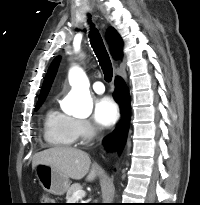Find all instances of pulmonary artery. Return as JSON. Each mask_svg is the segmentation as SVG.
Masks as SVG:
<instances>
[{
    "label": "pulmonary artery",
    "mask_w": 200,
    "mask_h": 205,
    "mask_svg": "<svg viewBox=\"0 0 200 205\" xmlns=\"http://www.w3.org/2000/svg\"><path fill=\"white\" fill-rule=\"evenodd\" d=\"M93 90L97 93V94H102L105 91V87L104 84L100 81H96L93 84Z\"/></svg>",
    "instance_id": "1"
}]
</instances>
